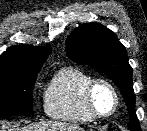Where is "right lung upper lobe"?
I'll return each instance as SVG.
<instances>
[{
	"instance_id": "right-lung-upper-lobe-1",
	"label": "right lung upper lobe",
	"mask_w": 147,
	"mask_h": 131,
	"mask_svg": "<svg viewBox=\"0 0 147 131\" xmlns=\"http://www.w3.org/2000/svg\"><path fill=\"white\" fill-rule=\"evenodd\" d=\"M50 52L49 45L43 47L31 45L10 47L0 55V71H39Z\"/></svg>"
}]
</instances>
